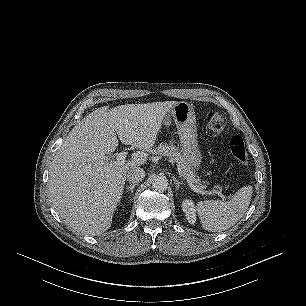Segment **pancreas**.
<instances>
[{"label":"pancreas","mask_w":306,"mask_h":306,"mask_svg":"<svg viewBox=\"0 0 306 306\" xmlns=\"http://www.w3.org/2000/svg\"><path fill=\"white\" fill-rule=\"evenodd\" d=\"M152 154L168 157L172 162H175L181 170V174L188 179L197 188L203 190L206 185L201 183V180L197 178L195 171L192 169L191 164L181 154L180 150L173 145L172 142L160 143L156 148L152 150Z\"/></svg>","instance_id":"obj_1"}]
</instances>
